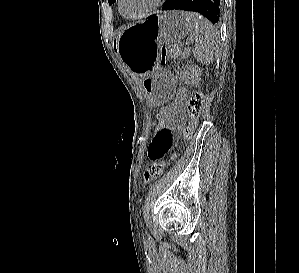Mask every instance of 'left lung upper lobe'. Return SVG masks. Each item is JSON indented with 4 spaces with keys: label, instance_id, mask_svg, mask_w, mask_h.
<instances>
[{
    "label": "left lung upper lobe",
    "instance_id": "1",
    "mask_svg": "<svg viewBox=\"0 0 299 273\" xmlns=\"http://www.w3.org/2000/svg\"><path fill=\"white\" fill-rule=\"evenodd\" d=\"M116 0H108L109 4H113Z\"/></svg>",
    "mask_w": 299,
    "mask_h": 273
}]
</instances>
